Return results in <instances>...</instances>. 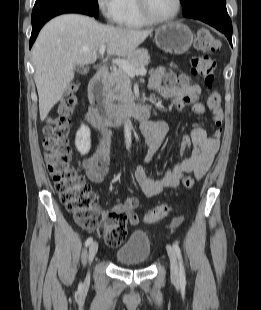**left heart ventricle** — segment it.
Returning a JSON list of instances; mask_svg holds the SVG:
<instances>
[{
    "mask_svg": "<svg viewBox=\"0 0 261 310\" xmlns=\"http://www.w3.org/2000/svg\"><path fill=\"white\" fill-rule=\"evenodd\" d=\"M151 14L156 18H166L176 9V0H147Z\"/></svg>",
    "mask_w": 261,
    "mask_h": 310,
    "instance_id": "1",
    "label": "left heart ventricle"
}]
</instances>
